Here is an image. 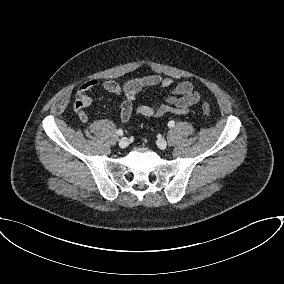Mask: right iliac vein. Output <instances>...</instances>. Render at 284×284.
<instances>
[{"instance_id": "1", "label": "right iliac vein", "mask_w": 284, "mask_h": 284, "mask_svg": "<svg viewBox=\"0 0 284 284\" xmlns=\"http://www.w3.org/2000/svg\"><path fill=\"white\" fill-rule=\"evenodd\" d=\"M118 144L121 148H126L129 145V140L126 137H122Z\"/></svg>"}]
</instances>
